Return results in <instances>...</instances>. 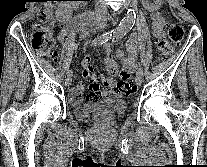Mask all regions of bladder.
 <instances>
[{"label": "bladder", "mask_w": 207, "mask_h": 167, "mask_svg": "<svg viewBox=\"0 0 207 167\" xmlns=\"http://www.w3.org/2000/svg\"><path fill=\"white\" fill-rule=\"evenodd\" d=\"M124 103L117 97H105L98 101L85 102L76 109V116L85 121L112 120L125 112Z\"/></svg>", "instance_id": "1"}]
</instances>
